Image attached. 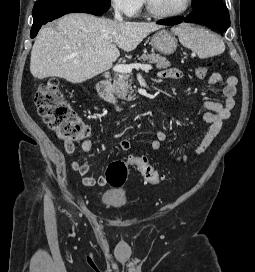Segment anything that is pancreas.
Wrapping results in <instances>:
<instances>
[{
	"label": "pancreas",
	"instance_id": "pancreas-1",
	"mask_svg": "<svg viewBox=\"0 0 255 272\" xmlns=\"http://www.w3.org/2000/svg\"><path fill=\"white\" fill-rule=\"evenodd\" d=\"M138 60H142L150 64H156L158 69H166L170 67V62L165 57L155 53L143 54L141 57H138ZM113 89L122 100L131 101L136 97L132 88V78L128 73L116 74L114 77Z\"/></svg>",
	"mask_w": 255,
	"mask_h": 272
}]
</instances>
